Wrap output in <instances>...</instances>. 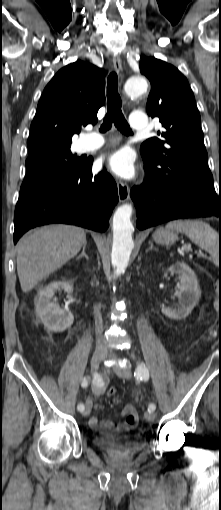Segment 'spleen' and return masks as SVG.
<instances>
[{"instance_id":"1","label":"spleen","mask_w":221,"mask_h":510,"mask_svg":"<svg viewBox=\"0 0 221 510\" xmlns=\"http://www.w3.org/2000/svg\"><path fill=\"white\" fill-rule=\"evenodd\" d=\"M167 229L184 233L200 248L208 251L217 263L219 258V236L209 224L201 220H174L166 225Z\"/></svg>"}]
</instances>
